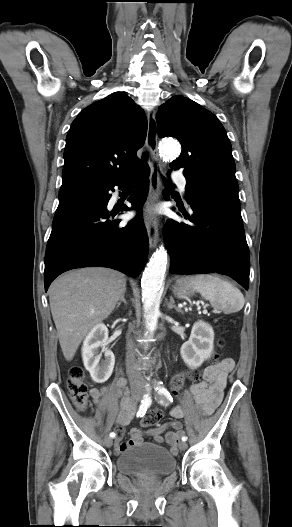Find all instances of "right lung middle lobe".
Segmentation results:
<instances>
[{"label":"right lung middle lobe","mask_w":292,"mask_h":527,"mask_svg":"<svg viewBox=\"0 0 292 527\" xmlns=\"http://www.w3.org/2000/svg\"><path fill=\"white\" fill-rule=\"evenodd\" d=\"M62 185H97V186H103L102 184L89 181V180H73L66 183H62Z\"/></svg>","instance_id":"dd1d6c3e"}]
</instances>
